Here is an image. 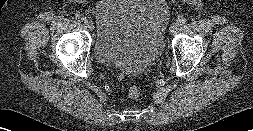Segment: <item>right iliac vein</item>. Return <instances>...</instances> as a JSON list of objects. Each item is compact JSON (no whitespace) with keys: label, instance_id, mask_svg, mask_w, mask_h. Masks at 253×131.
Instances as JSON below:
<instances>
[{"label":"right iliac vein","instance_id":"right-iliac-vein-1","mask_svg":"<svg viewBox=\"0 0 253 131\" xmlns=\"http://www.w3.org/2000/svg\"><path fill=\"white\" fill-rule=\"evenodd\" d=\"M84 24L89 30L92 31L94 29V24L91 20L89 19L85 20Z\"/></svg>","mask_w":253,"mask_h":131}]
</instances>
